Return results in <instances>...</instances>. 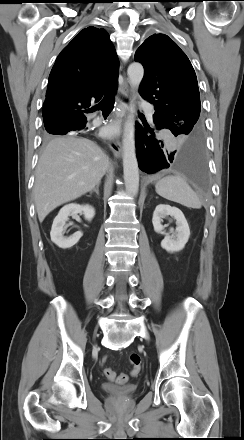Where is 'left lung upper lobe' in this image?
Instances as JSON below:
<instances>
[{
	"mask_svg": "<svg viewBox=\"0 0 244 440\" xmlns=\"http://www.w3.org/2000/svg\"><path fill=\"white\" fill-rule=\"evenodd\" d=\"M144 66L140 95L153 103L154 115L175 136L203 133L195 71L185 53L165 34L148 37L135 53Z\"/></svg>",
	"mask_w": 244,
	"mask_h": 440,
	"instance_id": "1",
	"label": "left lung upper lobe"
}]
</instances>
